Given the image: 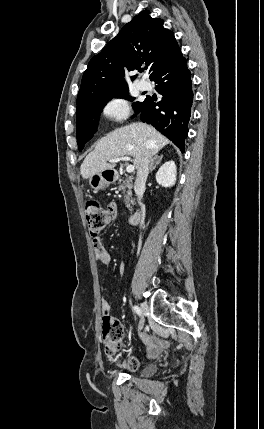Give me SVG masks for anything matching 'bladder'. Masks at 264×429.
<instances>
[{
  "instance_id": "bladder-1",
  "label": "bladder",
  "mask_w": 264,
  "mask_h": 429,
  "mask_svg": "<svg viewBox=\"0 0 264 429\" xmlns=\"http://www.w3.org/2000/svg\"><path fill=\"white\" fill-rule=\"evenodd\" d=\"M154 370H155V368L154 367H152V366H149V367H146V368H144L143 369V371L141 372V375L142 376H150V375H152L153 374V372H154Z\"/></svg>"
}]
</instances>
